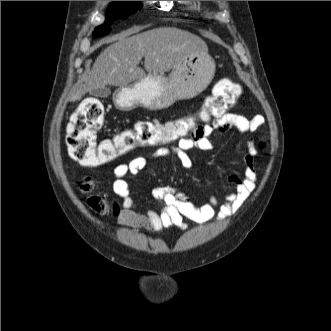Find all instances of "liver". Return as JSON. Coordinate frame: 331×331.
Listing matches in <instances>:
<instances>
[{
	"label": "liver",
	"mask_w": 331,
	"mask_h": 331,
	"mask_svg": "<svg viewBox=\"0 0 331 331\" xmlns=\"http://www.w3.org/2000/svg\"><path fill=\"white\" fill-rule=\"evenodd\" d=\"M200 50H208L200 37L177 28L160 27L133 36L122 34L100 53L70 101L80 100L93 89L107 85L124 87L142 79L146 73L138 65L143 57L149 74L162 75Z\"/></svg>",
	"instance_id": "obj_1"
}]
</instances>
